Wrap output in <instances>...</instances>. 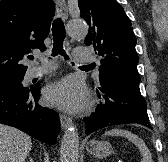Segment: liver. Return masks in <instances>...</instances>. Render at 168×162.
<instances>
[{
    "label": "liver",
    "mask_w": 168,
    "mask_h": 162,
    "mask_svg": "<svg viewBox=\"0 0 168 162\" xmlns=\"http://www.w3.org/2000/svg\"><path fill=\"white\" fill-rule=\"evenodd\" d=\"M31 147L32 141L27 134L0 124V162H24Z\"/></svg>",
    "instance_id": "obj_1"
}]
</instances>
